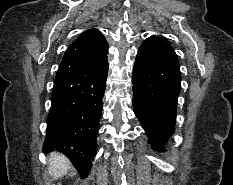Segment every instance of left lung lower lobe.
Segmentation results:
<instances>
[{"label": "left lung lower lobe", "instance_id": "1", "mask_svg": "<svg viewBox=\"0 0 233 185\" xmlns=\"http://www.w3.org/2000/svg\"><path fill=\"white\" fill-rule=\"evenodd\" d=\"M181 74L174 49L152 36L140 46L135 60L133 108L155 150L174 132Z\"/></svg>", "mask_w": 233, "mask_h": 185}]
</instances>
